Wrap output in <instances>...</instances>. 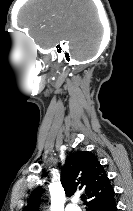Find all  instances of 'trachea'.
<instances>
[{"label": "trachea", "instance_id": "obj_1", "mask_svg": "<svg viewBox=\"0 0 133 211\" xmlns=\"http://www.w3.org/2000/svg\"><path fill=\"white\" fill-rule=\"evenodd\" d=\"M81 200H82V201H85V200H86V195H82V196H81Z\"/></svg>", "mask_w": 133, "mask_h": 211}]
</instances>
